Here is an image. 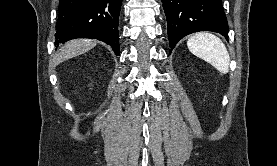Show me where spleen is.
<instances>
[{
	"label": "spleen",
	"instance_id": "obj_1",
	"mask_svg": "<svg viewBox=\"0 0 277 166\" xmlns=\"http://www.w3.org/2000/svg\"><path fill=\"white\" fill-rule=\"evenodd\" d=\"M189 51L214 66L220 73H228L230 57L227 48L217 36L200 32L187 41Z\"/></svg>",
	"mask_w": 277,
	"mask_h": 166
}]
</instances>
